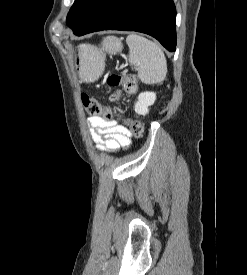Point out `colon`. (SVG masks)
<instances>
[{"label": "colon", "mask_w": 247, "mask_h": 275, "mask_svg": "<svg viewBox=\"0 0 247 275\" xmlns=\"http://www.w3.org/2000/svg\"><path fill=\"white\" fill-rule=\"evenodd\" d=\"M107 83L111 87H118L120 85H123L124 89L128 93H134L137 89V81L134 75L132 74H110L107 78ZM119 97L120 92L116 91L111 95L110 101L116 102L119 99ZM81 99L83 106L88 114L103 115L107 119L111 118L112 112L109 107L103 106L99 101L89 97L86 94H83ZM125 124L129 127V129L135 136L141 137L144 134V128L140 122L133 119H127L125 121Z\"/></svg>", "instance_id": "1"}]
</instances>
